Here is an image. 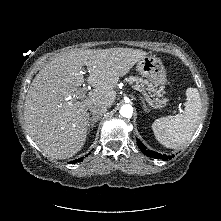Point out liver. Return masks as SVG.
<instances>
[{"mask_svg":"<svg viewBox=\"0 0 221 221\" xmlns=\"http://www.w3.org/2000/svg\"><path fill=\"white\" fill-rule=\"evenodd\" d=\"M146 55L139 49L109 48L72 50L54 58L39 71L28 90L24 105L27 133L49 157H72L85 143L89 106L103 103L110 107L120 77ZM83 66L88 68L87 82L94 89L79 101L85 80Z\"/></svg>","mask_w":221,"mask_h":221,"instance_id":"liver-1","label":"liver"}]
</instances>
